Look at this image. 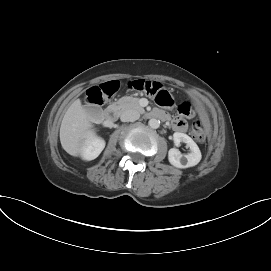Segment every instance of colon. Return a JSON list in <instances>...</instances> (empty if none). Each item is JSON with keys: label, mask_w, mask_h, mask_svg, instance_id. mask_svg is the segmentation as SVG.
<instances>
[{"label": "colon", "mask_w": 271, "mask_h": 271, "mask_svg": "<svg viewBox=\"0 0 271 271\" xmlns=\"http://www.w3.org/2000/svg\"><path fill=\"white\" fill-rule=\"evenodd\" d=\"M126 87L130 90L152 96L160 106H171L173 104L172 96L159 82L146 79H133L126 83ZM120 88L121 83L116 80L94 86L88 90L85 101L89 106L96 109L102 106L105 101L114 95ZM178 110L184 116H190L193 113V107L189 101L182 102L178 106ZM192 134L199 142L205 140L206 129L201 120H195L193 122Z\"/></svg>", "instance_id": "colon-1"}]
</instances>
